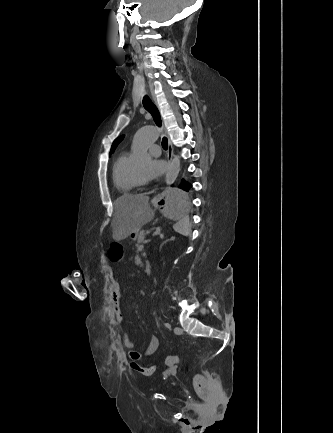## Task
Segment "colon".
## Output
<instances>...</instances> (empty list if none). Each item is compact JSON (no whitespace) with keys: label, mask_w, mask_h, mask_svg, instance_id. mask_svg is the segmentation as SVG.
Segmentation results:
<instances>
[{"label":"colon","mask_w":333,"mask_h":433,"mask_svg":"<svg viewBox=\"0 0 333 433\" xmlns=\"http://www.w3.org/2000/svg\"><path fill=\"white\" fill-rule=\"evenodd\" d=\"M108 252L110 255V263L111 265H120L121 258L125 252V245L121 244L119 241H116L114 244L108 245ZM179 363V357L177 355H167L164 358V364L169 368H176ZM131 368L138 372L141 375L150 376L155 372V365L151 366H142L136 363L131 364ZM193 385L200 396L201 399H206L208 397V382L205 376L201 374H196L193 377Z\"/></svg>","instance_id":"5ec220e1"}]
</instances>
